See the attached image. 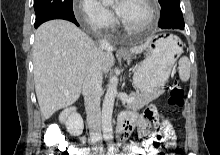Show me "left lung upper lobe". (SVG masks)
Returning a JSON list of instances; mask_svg holds the SVG:
<instances>
[{
    "mask_svg": "<svg viewBox=\"0 0 220 155\" xmlns=\"http://www.w3.org/2000/svg\"><path fill=\"white\" fill-rule=\"evenodd\" d=\"M161 7L172 5V4H180V0H159Z\"/></svg>",
    "mask_w": 220,
    "mask_h": 155,
    "instance_id": "left-lung-upper-lobe-1",
    "label": "left lung upper lobe"
}]
</instances>
